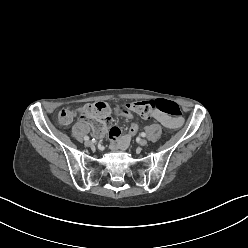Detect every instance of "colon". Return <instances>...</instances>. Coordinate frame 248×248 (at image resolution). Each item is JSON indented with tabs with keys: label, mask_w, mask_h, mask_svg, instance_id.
Listing matches in <instances>:
<instances>
[{
	"label": "colon",
	"mask_w": 248,
	"mask_h": 248,
	"mask_svg": "<svg viewBox=\"0 0 248 248\" xmlns=\"http://www.w3.org/2000/svg\"><path fill=\"white\" fill-rule=\"evenodd\" d=\"M124 109L132 110L138 113L143 118H150L155 111L166 113L175 118H181L182 112L179 105L173 101L158 99L152 101H134L125 105L123 108H117L116 111L120 112ZM109 107L102 101L89 103L86 107L82 108L78 114L81 119L86 121H93L92 134L97 139H102L105 136L104 123L108 120ZM73 112L69 110H62L59 113V123L66 125L73 117ZM122 117L129 119L128 133L130 137H137L139 133V126L136 121V116L125 110L122 112Z\"/></svg>",
	"instance_id": "obj_1"
}]
</instances>
